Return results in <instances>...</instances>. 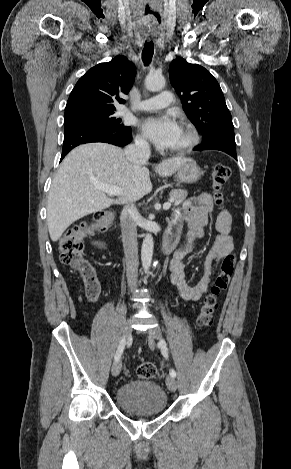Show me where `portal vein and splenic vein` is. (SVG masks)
Returning <instances> with one entry per match:
<instances>
[{
	"label": "portal vein and splenic vein",
	"mask_w": 291,
	"mask_h": 469,
	"mask_svg": "<svg viewBox=\"0 0 291 469\" xmlns=\"http://www.w3.org/2000/svg\"><path fill=\"white\" fill-rule=\"evenodd\" d=\"M95 187L99 190H102L104 192H106L108 195L110 196H119L121 195L122 193V190L121 188L119 187H116V186H112V185H106V184H95ZM171 207V203L170 202H166L164 205H163V209L164 210H168L169 208Z\"/></svg>",
	"instance_id": "1"
}]
</instances>
